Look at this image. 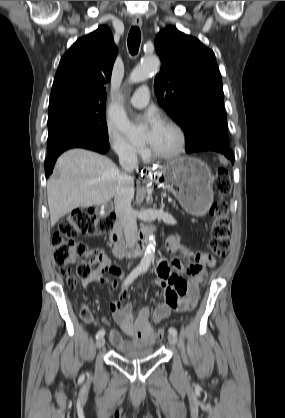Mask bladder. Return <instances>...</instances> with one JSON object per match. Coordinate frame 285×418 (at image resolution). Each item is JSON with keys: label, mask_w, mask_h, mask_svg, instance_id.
Returning a JSON list of instances; mask_svg holds the SVG:
<instances>
[{"label": "bladder", "mask_w": 285, "mask_h": 418, "mask_svg": "<svg viewBox=\"0 0 285 418\" xmlns=\"http://www.w3.org/2000/svg\"><path fill=\"white\" fill-rule=\"evenodd\" d=\"M153 353V349L151 347L148 348H131L123 353H120V356L125 359H137V358H146L151 356Z\"/></svg>", "instance_id": "31cf9c89"}]
</instances>
